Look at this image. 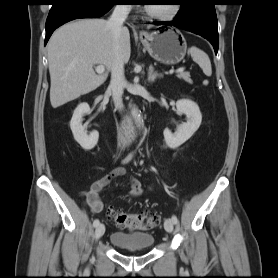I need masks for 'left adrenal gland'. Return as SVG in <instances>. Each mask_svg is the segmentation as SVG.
I'll list each match as a JSON object with an SVG mask.
<instances>
[{
    "instance_id": "left-adrenal-gland-1",
    "label": "left adrenal gland",
    "mask_w": 278,
    "mask_h": 278,
    "mask_svg": "<svg viewBox=\"0 0 278 278\" xmlns=\"http://www.w3.org/2000/svg\"><path fill=\"white\" fill-rule=\"evenodd\" d=\"M162 74L157 73L154 71V68L152 65H150L148 70V82L153 83L156 79L161 78Z\"/></svg>"
}]
</instances>
